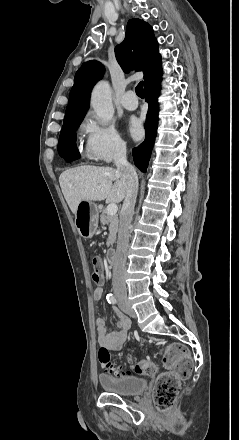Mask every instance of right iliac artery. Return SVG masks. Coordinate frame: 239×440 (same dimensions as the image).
I'll return each mask as SVG.
<instances>
[{
	"mask_svg": "<svg viewBox=\"0 0 239 440\" xmlns=\"http://www.w3.org/2000/svg\"><path fill=\"white\" fill-rule=\"evenodd\" d=\"M106 299L110 304H115L117 302V299L113 294H108Z\"/></svg>",
	"mask_w": 239,
	"mask_h": 440,
	"instance_id": "obj_1",
	"label": "right iliac artery"
}]
</instances>
